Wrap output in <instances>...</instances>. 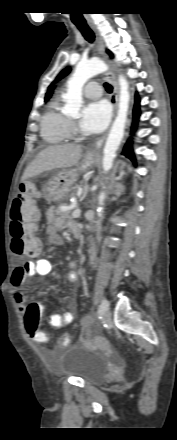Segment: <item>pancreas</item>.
<instances>
[{
    "mask_svg": "<svg viewBox=\"0 0 177 440\" xmlns=\"http://www.w3.org/2000/svg\"><path fill=\"white\" fill-rule=\"evenodd\" d=\"M63 206H65V204H63ZM56 214L59 215V216L62 217V218L69 219V220L73 218V216H72V211H71V210H66V211H64V210L62 209V207H59V208L56 210Z\"/></svg>",
    "mask_w": 177,
    "mask_h": 440,
    "instance_id": "cf45deb5",
    "label": "pancreas"
}]
</instances>
